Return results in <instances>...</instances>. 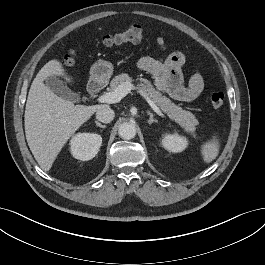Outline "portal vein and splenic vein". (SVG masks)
Wrapping results in <instances>:
<instances>
[{"label":"portal vein and splenic vein","mask_w":265,"mask_h":265,"mask_svg":"<svg viewBox=\"0 0 265 265\" xmlns=\"http://www.w3.org/2000/svg\"><path fill=\"white\" fill-rule=\"evenodd\" d=\"M135 89V87L128 82H125L121 85H119L113 92L105 93L98 97L97 101L101 103H117L119 102L123 97H125L131 90ZM141 96L144 97V99L148 102V104L151 106V108L161 117H163V113L160 111V109L157 107L155 102L143 91H138Z\"/></svg>","instance_id":"obj_1"}]
</instances>
